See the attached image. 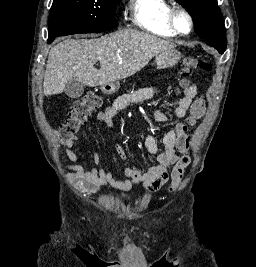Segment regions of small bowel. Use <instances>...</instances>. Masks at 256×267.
<instances>
[{
    "instance_id": "small-bowel-1",
    "label": "small bowel",
    "mask_w": 256,
    "mask_h": 267,
    "mask_svg": "<svg viewBox=\"0 0 256 267\" xmlns=\"http://www.w3.org/2000/svg\"><path fill=\"white\" fill-rule=\"evenodd\" d=\"M182 87V94L174 102L172 108V115L176 118L186 116L197 93L195 83L183 81ZM155 90V87L150 86L121 94L113 101L111 106L98 113L97 119L107 124L110 128H114V120L123 110L132 103L152 98ZM154 118L156 122L164 123L168 115L165 111L160 110L155 113ZM175 134V130L167 131L163 136L161 148L153 136H146V149L149 153L157 155L158 160V164L148 170H143L135 165L127 156L124 148L118 144L116 146V152L127 163V166L123 169L125 179L116 178L112 170L104 167L94 166L91 169H86L81 164L80 157L75 149L78 144V138L76 136L69 137L64 140L66 155L71 162V172L67 178L78 191L87 195L95 194L103 186L128 190L135 184H142L150 192H155L166 182L169 170L179 160L177 151L182 152L179 146V138H176ZM100 160V156L97 153H93V161L96 165L100 163Z\"/></svg>"
}]
</instances>
